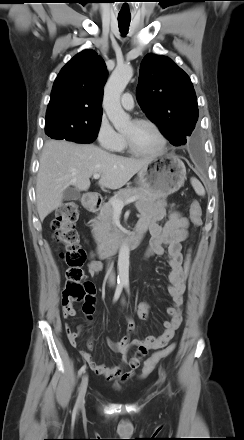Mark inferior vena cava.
<instances>
[{
	"mask_svg": "<svg viewBox=\"0 0 244 440\" xmlns=\"http://www.w3.org/2000/svg\"><path fill=\"white\" fill-rule=\"evenodd\" d=\"M109 283H110V285L115 284V275H114L112 269H110V272H109Z\"/></svg>",
	"mask_w": 244,
	"mask_h": 440,
	"instance_id": "1",
	"label": "inferior vena cava"
}]
</instances>
